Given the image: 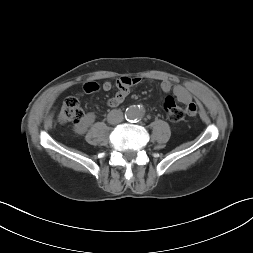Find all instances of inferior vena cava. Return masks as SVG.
Wrapping results in <instances>:
<instances>
[{
    "instance_id": "1",
    "label": "inferior vena cava",
    "mask_w": 253,
    "mask_h": 253,
    "mask_svg": "<svg viewBox=\"0 0 253 253\" xmlns=\"http://www.w3.org/2000/svg\"><path fill=\"white\" fill-rule=\"evenodd\" d=\"M107 118L110 124H118L123 121V112L121 110L113 109L108 114Z\"/></svg>"
}]
</instances>
